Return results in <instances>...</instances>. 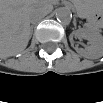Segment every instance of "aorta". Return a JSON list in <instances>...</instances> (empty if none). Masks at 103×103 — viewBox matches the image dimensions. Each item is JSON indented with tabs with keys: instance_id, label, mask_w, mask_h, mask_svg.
Listing matches in <instances>:
<instances>
[{
	"instance_id": "obj_1",
	"label": "aorta",
	"mask_w": 103,
	"mask_h": 103,
	"mask_svg": "<svg viewBox=\"0 0 103 103\" xmlns=\"http://www.w3.org/2000/svg\"><path fill=\"white\" fill-rule=\"evenodd\" d=\"M55 17L57 21L63 25H67L70 23L72 19L71 11L66 7H60L55 11Z\"/></svg>"
}]
</instances>
